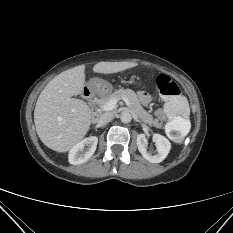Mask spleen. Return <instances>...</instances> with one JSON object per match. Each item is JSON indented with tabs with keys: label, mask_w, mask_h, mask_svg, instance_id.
<instances>
[{
	"label": "spleen",
	"mask_w": 233,
	"mask_h": 233,
	"mask_svg": "<svg viewBox=\"0 0 233 233\" xmlns=\"http://www.w3.org/2000/svg\"><path fill=\"white\" fill-rule=\"evenodd\" d=\"M173 121L176 122V121H184V120H183V118H181V117H176Z\"/></svg>",
	"instance_id": "3e777b00"
}]
</instances>
